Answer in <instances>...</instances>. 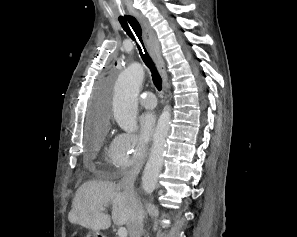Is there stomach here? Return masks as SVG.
Listing matches in <instances>:
<instances>
[{"label": "stomach", "instance_id": "stomach-1", "mask_svg": "<svg viewBox=\"0 0 297 237\" xmlns=\"http://www.w3.org/2000/svg\"><path fill=\"white\" fill-rule=\"evenodd\" d=\"M87 237H104L100 232L97 231H90Z\"/></svg>", "mask_w": 297, "mask_h": 237}]
</instances>
